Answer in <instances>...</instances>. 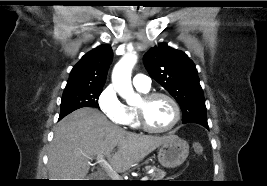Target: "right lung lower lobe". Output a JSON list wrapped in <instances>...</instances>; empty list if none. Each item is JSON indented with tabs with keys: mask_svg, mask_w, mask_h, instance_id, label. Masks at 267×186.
I'll return each instance as SVG.
<instances>
[{
	"mask_svg": "<svg viewBox=\"0 0 267 186\" xmlns=\"http://www.w3.org/2000/svg\"><path fill=\"white\" fill-rule=\"evenodd\" d=\"M62 118H63V117H60V116H59V120L62 119Z\"/></svg>",
	"mask_w": 267,
	"mask_h": 186,
	"instance_id": "1",
	"label": "right lung lower lobe"
}]
</instances>
